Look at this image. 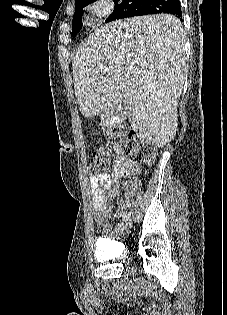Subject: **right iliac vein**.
<instances>
[{"label": "right iliac vein", "instance_id": "63e3f726", "mask_svg": "<svg viewBox=\"0 0 227 315\" xmlns=\"http://www.w3.org/2000/svg\"><path fill=\"white\" fill-rule=\"evenodd\" d=\"M131 225H132V220H131V219H127V220H125V221L122 223L121 229H122V230L128 229Z\"/></svg>", "mask_w": 227, "mask_h": 315}]
</instances>
